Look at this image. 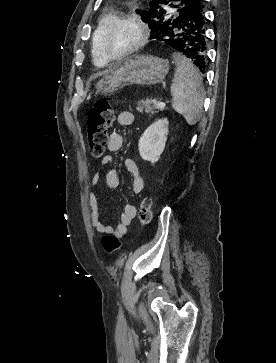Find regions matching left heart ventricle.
<instances>
[{"label":"left heart ventricle","mask_w":276,"mask_h":363,"mask_svg":"<svg viewBox=\"0 0 276 363\" xmlns=\"http://www.w3.org/2000/svg\"><path fill=\"white\" fill-rule=\"evenodd\" d=\"M137 30L130 23H119L104 37V47L111 56H116L128 49L136 40Z\"/></svg>","instance_id":"b2bd125f"}]
</instances>
